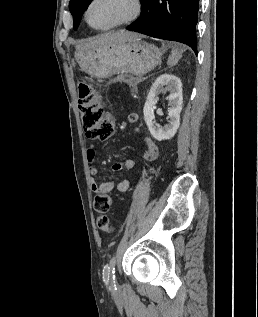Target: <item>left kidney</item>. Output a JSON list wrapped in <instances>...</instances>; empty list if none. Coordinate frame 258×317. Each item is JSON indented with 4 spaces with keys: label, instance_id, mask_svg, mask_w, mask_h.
I'll list each match as a JSON object with an SVG mask.
<instances>
[{
    "label": "left kidney",
    "instance_id": "5707ae66",
    "mask_svg": "<svg viewBox=\"0 0 258 317\" xmlns=\"http://www.w3.org/2000/svg\"><path fill=\"white\" fill-rule=\"evenodd\" d=\"M164 86L166 90H170V94L167 96L170 108L167 118H170V120H168V124L160 128V126H155L154 108H156L155 104L158 100L157 94ZM182 104V82L180 78L175 76V74H167V72L160 74L155 82H153L143 108L144 120L154 138H157V140H165V138H172V136L176 134L180 124Z\"/></svg>",
    "mask_w": 258,
    "mask_h": 317
}]
</instances>
